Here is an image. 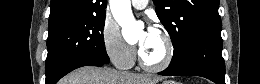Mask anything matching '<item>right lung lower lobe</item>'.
<instances>
[{
  "label": "right lung lower lobe",
  "instance_id": "right-lung-lower-lobe-1",
  "mask_svg": "<svg viewBox=\"0 0 260 84\" xmlns=\"http://www.w3.org/2000/svg\"><path fill=\"white\" fill-rule=\"evenodd\" d=\"M88 65H92V66H103L105 65V63L99 62V61H95V60H83L74 64L69 65L67 68H65L60 75L51 83H47L46 84H55L60 78H62L63 76H65L67 73L71 72L72 70L82 67V66H88Z\"/></svg>",
  "mask_w": 260,
  "mask_h": 84
}]
</instances>
